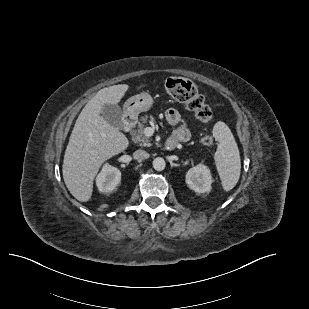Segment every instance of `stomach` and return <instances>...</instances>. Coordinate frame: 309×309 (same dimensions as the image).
Here are the masks:
<instances>
[{"label":"stomach","instance_id":"stomach-1","mask_svg":"<svg viewBox=\"0 0 309 309\" xmlns=\"http://www.w3.org/2000/svg\"><path fill=\"white\" fill-rule=\"evenodd\" d=\"M153 104V99L148 92H141L129 98L124 104L125 114L137 117L139 113L148 111Z\"/></svg>","mask_w":309,"mask_h":309}]
</instances>
